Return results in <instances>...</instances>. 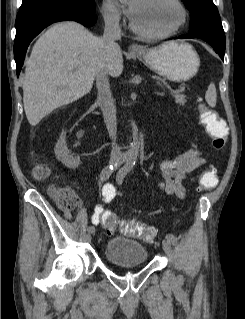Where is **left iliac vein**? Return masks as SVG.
<instances>
[{
    "instance_id": "1",
    "label": "left iliac vein",
    "mask_w": 245,
    "mask_h": 319,
    "mask_svg": "<svg viewBox=\"0 0 245 319\" xmlns=\"http://www.w3.org/2000/svg\"><path fill=\"white\" fill-rule=\"evenodd\" d=\"M117 181H118V179H117ZM118 183L121 184L119 181H118ZM162 247H163L164 252L167 254V256H169V257L173 256V249L171 247V243H169V241L167 239L162 241Z\"/></svg>"
}]
</instances>
